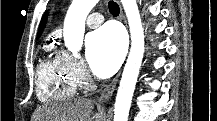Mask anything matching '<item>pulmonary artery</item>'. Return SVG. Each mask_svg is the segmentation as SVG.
I'll use <instances>...</instances> for the list:
<instances>
[{"label":"pulmonary artery","mask_w":217,"mask_h":121,"mask_svg":"<svg viewBox=\"0 0 217 121\" xmlns=\"http://www.w3.org/2000/svg\"><path fill=\"white\" fill-rule=\"evenodd\" d=\"M104 21V18L102 16V14L95 12V13H91L88 18H87V25L90 28H96L98 27L102 22Z\"/></svg>","instance_id":"1"}]
</instances>
